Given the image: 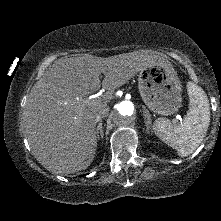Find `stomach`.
<instances>
[{
	"mask_svg": "<svg viewBox=\"0 0 221 221\" xmlns=\"http://www.w3.org/2000/svg\"><path fill=\"white\" fill-rule=\"evenodd\" d=\"M138 88L142 100L153 112L168 116L182 103V85L173 67L154 65L140 71Z\"/></svg>",
	"mask_w": 221,
	"mask_h": 221,
	"instance_id": "stomach-1",
	"label": "stomach"
}]
</instances>
